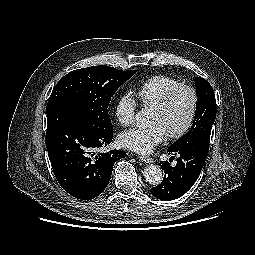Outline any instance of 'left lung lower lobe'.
<instances>
[{
  "instance_id": "1",
  "label": "left lung lower lobe",
  "mask_w": 255,
  "mask_h": 255,
  "mask_svg": "<svg viewBox=\"0 0 255 255\" xmlns=\"http://www.w3.org/2000/svg\"><path fill=\"white\" fill-rule=\"evenodd\" d=\"M209 146L193 144L180 149H168L169 154L178 153L176 166H170L168 161L159 165L164 170L161 184L151 189L154 197L160 200H174L184 195L196 182L207 158Z\"/></svg>"
}]
</instances>
